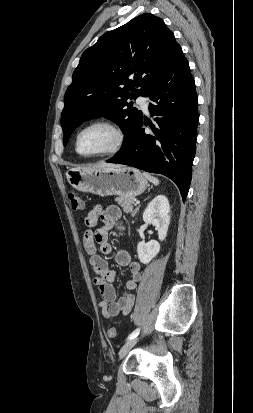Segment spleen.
Returning a JSON list of instances; mask_svg holds the SVG:
<instances>
[{
	"label": "spleen",
	"instance_id": "spleen-1",
	"mask_svg": "<svg viewBox=\"0 0 253 413\" xmlns=\"http://www.w3.org/2000/svg\"><path fill=\"white\" fill-rule=\"evenodd\" d=\"M144 176L146 179H148L151 183H153L154 185H158L159 184V180L158 178L148 174V173H144Z\"/></svg>",
	"mask_w": 253,
	"mask_h": 413
}]
</instances>
